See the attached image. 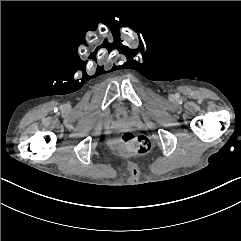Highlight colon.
Instances as JSON below:
<instances>
[{"mask_svg":"<svg viewBox=\"0 0 241 241\" xmlns=\"http://www.w3.org/2000/svg\"><path fill=\"white\" fill-rule=\"evenodd\" d=\"M152 147L150 139L145 135L132 132L124 133L117 141L116 148L125 155L143 156L150 152Z\"/></svg>","mask_w":241,"mask_h":241,"instance_id":"obj_1","label":"colon"}]
</instances>
